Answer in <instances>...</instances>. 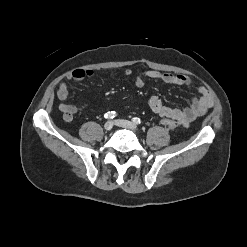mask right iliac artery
Masks as SVG:
<instances>
[{
	"mask_svg": "<svg viewBox=\"0 0 247 247\" xmlns=\"http://www.w3.org/2000/svg\"><path fill=\"white\" fill-rule=\"evenodd\" d=\"M116 112L115 111H110V112H107L105 115H104V117L106 118V119H113V118H115L116 117Z\"/></svg>",
	"mask_w": 247,
	"mask_h": 247,
	"instance_id": "obj_1",
	"label": "right iliac artery"
}]
</instances>
